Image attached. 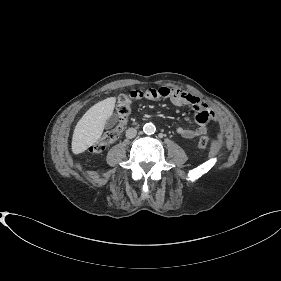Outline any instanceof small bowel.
<instances>
[{"label": "small bowel", "mask_w": 281, "mask_h": 281, "mask_svg": "<svg viewBox=\"0 0 281 281\" xmlns=\"http://www.w3.org/2000/svg\"><path fill=\"white\" fill-rule=\"evenodd\" d=\"M133 101L147 99L152 101L169 100L175 106H189L195 112L198 127L195 129L178 127L176 132L185 139H192L206 134L208 124L217 121V113L199 97L181 89L160 87L146 90H134L130 93Z\"/></svg>", "instance_id": "1"}]
</instances>
